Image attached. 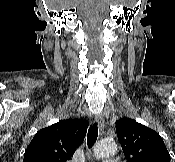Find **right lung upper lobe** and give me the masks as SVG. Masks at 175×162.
Wrapping results in <instances>:
<instances>
[{"label": "right lung upper lobe", "instance_id": "cb5924a9", "mask_svg": "<svg viewBox=\"0 0 175 162\" xmlns=\"http://www.w3.org/2000/svg\"><path fill=\"white\" fill-rule=\"evenodd\" d=\"M89 123L61 120L38 131L28 145L23 162H67L83 142Z\"/></svg>", "mask_w": 175, "mask_h": 162}]
</instances>
